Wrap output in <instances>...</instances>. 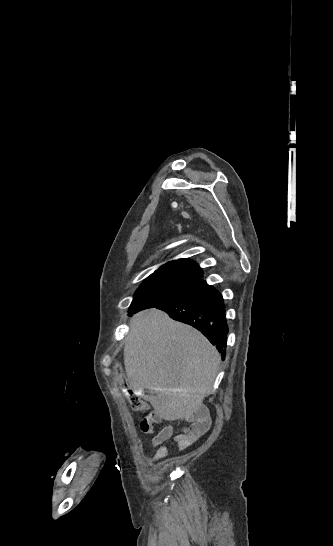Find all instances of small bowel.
Returning <instances> with one entry per match:
<instances>
[{"label": "small bowel", "instance_id": "c3829d8e", "mask_svg": "<svg viewBox=\"0 0 333 546\" xmlns=\"http://www.w3.org/2000/svg\"><path fill=\"white\" fill-rule=\"evenodd\" d=\"M164 418L161 413L154 415V421L157 423L162 422ZM189 422V426L181 433L174 434L171 427H165L152 438L151 444L157 448L152 457L153 461H159L165 457L168 452L167 443L169 441L176 444L178 449H185L204 435L210 426V421L207 418H195L189 420Z\"/></svg>", "mask_w": 333, "mask_h": 546}]
</instances>
